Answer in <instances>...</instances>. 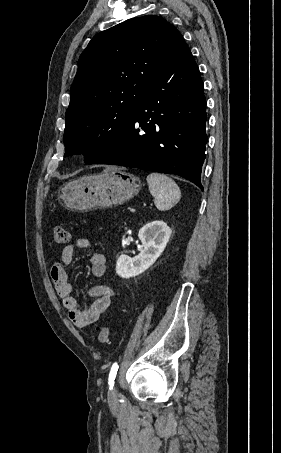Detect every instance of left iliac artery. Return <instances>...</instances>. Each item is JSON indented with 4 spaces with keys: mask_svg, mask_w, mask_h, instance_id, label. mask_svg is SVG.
<instances>
[{
    "mask_svg": "<svg viewBox=\"0 0 281 453\" xmlns=\"http://www.w3.org/2000/svg\"><path fill=\"white\" fill-rule=\"evenodd\" d=\"M118 368H119V366H118L117 363H114L112 365V368H111V371H110V374H109V382H108V384L110 385V387H109L110 390L113 389V386H114V383H115L114 380H115Z\"/></svg>",
    "mask_w": 281,
    "mask_h": 453,
    "instance_id": "obj_1",
    "label": "left iliac artery"
}]
</instances>
